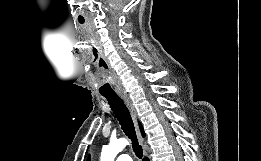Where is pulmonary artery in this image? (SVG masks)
I'll list each match as a JSON object with an SVG mask.
<instances>
[{"instance_id": "pulmonary-artery-1", "label": "pulmonary artery", "mask_w": 261, "mask_h": 161, "mask_svg": "<svg viewBox=\"0 0 261 161\" xmlns=\"http://www.w3.org/2000/svg\"><path fill=\"white\" fill-rule=\"evenodd\" d=\"M116 161H132L129 155L127 154H120L117 158Z\"/></svg>"}]
</instances>
